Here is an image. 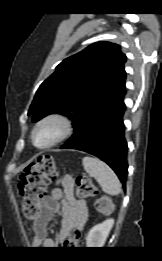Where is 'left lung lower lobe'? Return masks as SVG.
<instances>
[{
  "label": "left lung lower lobe",
  "mask_w": 162,
  "mask_h": 261,
  "mask_svg": "<svg viewBox=\"0 0 162 261\" xmlns=\"http://www.w3.org/2000/svg\"><path fill=\"white\" fill-rule=\"evenodd\" d=\"M125 88L96 110L60 148L90 153L106 162L123 187L127 180V142L123 115Z\"/></svg>",
  "instance_id": "0a47b994"
}]
</instances>
